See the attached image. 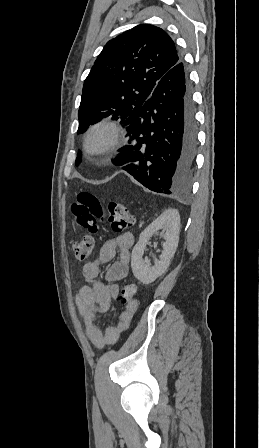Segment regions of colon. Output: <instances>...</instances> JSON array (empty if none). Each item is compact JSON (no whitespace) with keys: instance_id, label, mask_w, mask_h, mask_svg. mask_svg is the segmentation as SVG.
<instances>
[{"instance_id":"1","label":"colon","mask_w":259,"mask_h":448,"mask_svg":"<svg viewBox=\"0 0 259 448\" xmlns=\"http://www.w3.org/2000/svg\"><path fill=\"white\" fill-rule=\"evenodd\" d=\"M72 213L77 226L86 233L82 240L74 245L75 258L79 261L87 259L92 253L93 235L98 231L99 221L106 220L115 232H121L134 223L133 215L124 204L111 201L107 210H104L100 199L88 191H81L77 195L72 204ZM135 292L133 284H125L117 299L123 307L128 308L134 303Z\"/></svg>"}]
</instances>
